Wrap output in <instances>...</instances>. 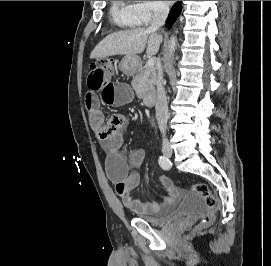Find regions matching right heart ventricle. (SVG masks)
<instances>
[{
    "instance_id": "1",
    "label": "right heart ventricle",
    "mask_w": 271,
    "mask_h": 266,
    "mask_svg": "<svg viewBox=\"0 0 271 266\" xmlns=\"http://www.w3.org/2000/svg\"><path fill=\"white\" fill-rule=\"evenodd\" d=\"M110 13L114 23L119 27L130 28L139 25L133 5L127 1H112Z\"/></svg>"
}]
</instances>
